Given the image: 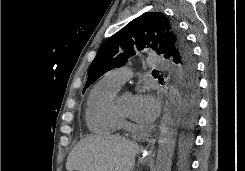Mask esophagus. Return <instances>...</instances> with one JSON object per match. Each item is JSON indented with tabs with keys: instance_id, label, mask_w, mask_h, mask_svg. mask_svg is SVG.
I'll list each match as a JSON object with an SVG mask.
<instances>
[{
	"instance_id": "esophagus-1",
	"label": "esophagus",
	"mask_w": 245,
	"mask_h": 171,
	"mask_svg": "<svg viewBox=\"0 0 245 171\" xmlns=\"http://www.w3.org/2000/svg\"><path fill=\"white\" fill-rule=\"evenodd\" d=\"M155 141H156V138H151L149 140V148L142 153L143 158H148L152 155V151H153Z\"/></svg>"
}]
</instances>
